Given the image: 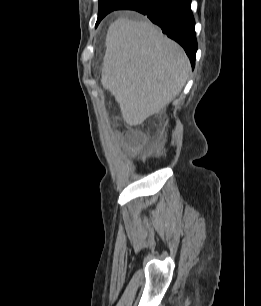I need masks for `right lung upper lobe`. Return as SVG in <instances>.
Here are the masks:
<instances>
[{
    "label": "right lung upper lobe",
    "instance_id": "obj_1",
    "mask_svg": "<svg viewBox=\"0 0 261 306\" xmlns=\"http://www.w3.org/2000/svg\"><path fill=\"white\" fill-rule=\"evenodd\" d=\"M108 1V0H99V2Z\"/></svg>",
    "mask_w": 261,
    "mask_h": 306
}]
</instances>
